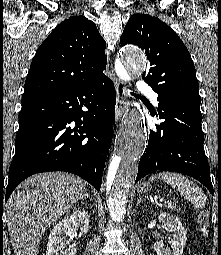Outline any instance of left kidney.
Here are the masks:
<instances>
[{
  "label": "left kidney",
  "mask_w": 221,
  "mask_h": 255,
  "mask_svg": "<svg viewBox=\"0 0 221 255\" xmlns=\"http://www.w3.org/2000/svg\"><path fill=\"white\" fill-rule=\"evenodd\" d=\"M160 222H162L168 231L172 233L173 238L170 241L171 248H165L162 242L154 243V250L157 255H182L183 248L186 243V230L181 223L180 219L170 213H161L158 216Z\"/></svg>",
  "instance_id": "obj_1"
}]
</instances>
